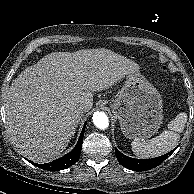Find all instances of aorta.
<instances>
[{"label":"aorta","instance_id":"1","mask_svg":"<svg viewBox=\"0 0 194 194\" xmlns=\"http://www.w3.org/2000/svg\"><path fill=\"white\" fill-rule=\"evenodd\" d=\"M93 123L99 129H106L109 126L108 116L104 112H95L93 114Z\"/></svg>","mask_w":194,"mask_h":194}]
</instances>
